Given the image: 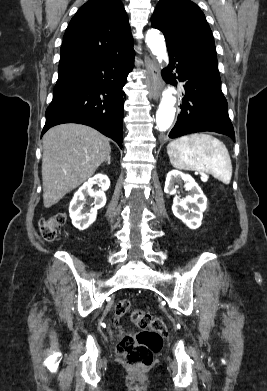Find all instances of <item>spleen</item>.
I'll use <instances>...</instances> for the list:
<instances>
[{"mask_svg":"<svg viewBox=\"0 0 267 391\" xmlns=\"http://www.w3.org/2000/svg\"><path fill=\"white\" fill-rule=\"evenodd\" d=\"M167 153L173 167L189 171H206L229 184L232 163L226 146L206 133H194L170 142Z\"/></svg>","mask_w":267,"mask_h":391,"instance_id":"obj_1","label":"spleen"}]
</instances>
